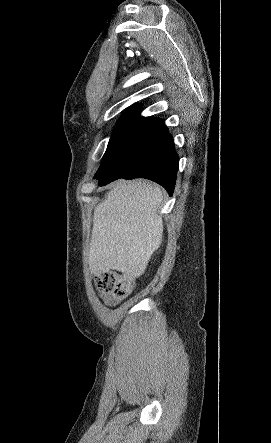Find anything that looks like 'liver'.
Segmentation results:
<instances>
[{
    "label": "liver",
    "instance_id": "6515ba94",
    "mask_svg": "<svg viewBox=\"0 0 271 443\" xmlns=\"http://www.w3.org/2000/svg\"><path fill=\"white\" fill-rule=\"evenodd\" d=\"M163 194L146 180H119L94 210L89 269L95 275L110 269L130 279L144 273L160 247L163 220L158 208Z\"/></svg>",
    "mask_w": 271,
    "mask_h": 443
}]
</instances>
